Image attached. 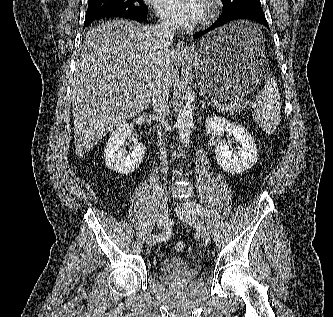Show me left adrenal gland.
<instances>
[{
    "mask_svg": "<svg viewBox=\"0 0 333 317\" xmlns=\"http://www.w3.org/2000/svg\"><path fill=\"white\" fill-rule=\"evenodd\" d=\"M204 109H208V108L206 107L205 101H201V110H204Z\"/></svg>",
    "mask_w": 333,
    "mask_h": 317,
    "instance_id": "a2214340",
    "label": "left adrenal gland"
}]
</instances>
